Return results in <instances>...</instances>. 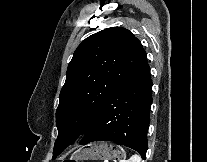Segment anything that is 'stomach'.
Wrapping results in <instances>:
<instances>
[{"mask_svg":"<svg viewBox=\"0 0 207 162\" xmlns=\"http://www.w3.org/2000/svg\"><path fill=\"white\" fill-rule=\"evenodd\" d=\"M125 157L126 153L122 147L101 142L79 149L70 160H122Z\"/></svg>","mask_w":207,"mask_h":162,"instance_id":"stomach-1","label":"stomach"}]
</instances>
